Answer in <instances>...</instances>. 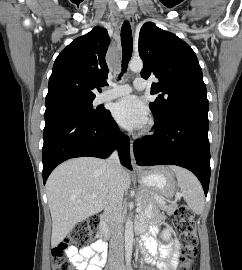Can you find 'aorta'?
Returning a JSON list of instances; mask_svg holds the SVG:
<instances>
[{
    "label": "aorta",
    "mask_w": 242,
    "mask_h": 270,
    "mask_svg": "<svg viewBox=\"0 0 242 270\" xmlns=\"http://www.w3.org/2000/svg\"><path fill=\"white\" fill-rule=\"evenodd\" d=\"M129 68L133 72H141L143 69V61L141 59H132L129 62ZM125 252L126 257H130L132 254L133 242H134V233H133V221L129 217L125 224Z\"/></svg>",
    "instance_id": "762f6f07"
}]
</instances>
